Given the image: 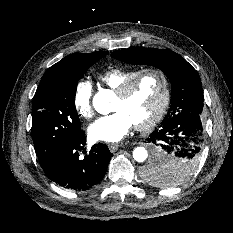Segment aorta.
<instances>
[{"label":"aorta","instance_id":"1","mask_svg":"<svg viewBox=\"0 0 233 233\" xmlns=\"http://www.w3.org/2000/svg\"><path fill=\"white\" fill-rule=\"evenodd\" d=\"M113 99V93L107 89H101L93 97V107L100 114L111 112L110 101ZM133 158L137 162H144L148 158V152L144 147H136L133 151Z\"/></svg>","mask_w":233,"mask_h":233}]
</instances>
